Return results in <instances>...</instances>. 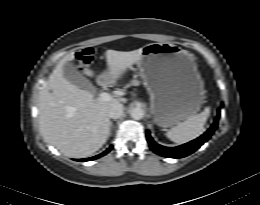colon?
Here are the masks:
<instances>
[{"instance_id":"1","label":"colon","mask_w":260,"mask_h":205,"mask_svg":"<svg viewBox=\"0 0 260 205\" xmlns=\"http://www.w3.org/2000/svg\"><path fill=\"white\" fill-rule=\"evenodd\" d=\"M93 57H94L93 48H86L81 53V60H82L83 63L91 62Z\"/></svg>"}]
</instances>
